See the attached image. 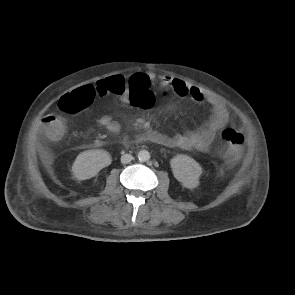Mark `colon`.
<instances>
[{
  "instance_id": "5ec220e1",
  "label": "colon",
  "mask_w": 295,
  "mask_h": 295,
  "mask_svg": "<svg viewBox=\"0 0 295 295\" xmlns=\"http://www.w3.org/2000/svg\"><path fill=\"white\" fill-rule=\"evenodd\" d=\"M126 81L120 76H114L97 82L95 85H85L64 95L59 102L63 114H76L90 105L98 95H121L126 90ZM129 102L136 110H148L155 102V93L150 87H128ZM65 132V119L62 115H54L45 125L44 133L52 141L60 140ZM224 145L222 154L235 161L242 153L244 135L235 128H226L222 132Z\"/></svg>"
}]
</instances>
